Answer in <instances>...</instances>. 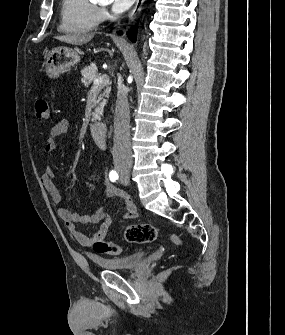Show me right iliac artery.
I'll return each mask as SVG.
<instances>
[{
    "instance_id": "right-iliac-artery-1",
    "label": "right iliac artery",
    "mask_w": 285,
    "mask_h": 335,
    "mask_svg": "<svg viewBox=\"0 0 285 335\" xmlns=\"http://www.w3.org/2000/svg\"><path fill=\"white\" fill-rule=\"evenodd\" d=\"M118 174L116 171L112 170L109 174V178L112 182H115L118 179Z\"/></svg>"
}]
</instances>
